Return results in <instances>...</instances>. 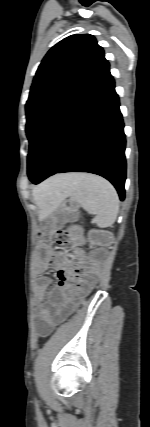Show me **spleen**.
I'll list each match as a JSON object with an SVG mask.
<instances>
[{
	"mask_svg": "<svg viewBox=\"0 0 150 427\" xmlns=\"http://www.w3.org/2000/svg\"><path fill=\"white\" fill-rule=\"evenodd\" d=\"M60 184L47 190L50 198L59 200L70 196L89 214L100 228L114 224L119 212V197L110 182L93 174H69Z\"/></svg>",
	"mask_w": 150,
	"mask_h": 427,
	"instance_id": "3e777b00",
	"label": "spleen"
}]
</instances>
